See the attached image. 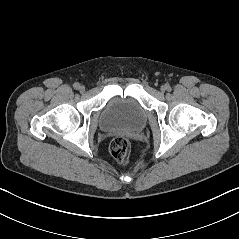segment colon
Segmentation results:
<instances>
[{
  "instance_id": "obj_1",
  "label": "colon",
  "mask_w": 239,
  "mask_h": 239,
  "mask_svg": "<svg viewBox=\"0 0 239 239\" xmlns=\"http://www.w3.org/2000/svg\"><path fill=\"white\" fill-rule=\"evenodd\" d=\"M112 157L120 164H126L131 155V146L129 141L123 137H116L110 145Z\"/></svg>"
}]
</instances>
